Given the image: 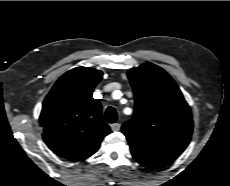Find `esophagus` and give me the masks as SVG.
<instances>
[{
	"label": "esophagus",
	"instance_id": "obj_1",
	"mask_svg": "<svg viewBox=\"0 0 230 186\" xmlns=\"http://www.w3.org/2000/svg\"><path fill=\"white\" fill-rule=\"evenodd\" d=\"M110 127H111L112 131H119L120 130V124L119 123L111 124Z\"/></svg>",
	"mask_w": 230,
	"mask_h": 186
}]
</instances>
